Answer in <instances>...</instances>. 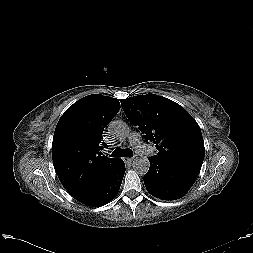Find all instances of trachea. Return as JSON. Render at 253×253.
I'll list each match as a JSON object with an SVG mask.
<instances>
[{"instance_id":"3493384b","label":"trachea","mask_w":253,"mask_h":253,"mask_svg":"<svg viewBox=\"0 0 253 253\" xmlns=\"http://www.w3.org/2000/svg\"><path fill=\"white\" fill-rule=\"evenodd\" d=\"M110 156L115 157V158L132 157L133 156V151L131 149H128V148L127 149L116 148Z\"/></svg>"}]
</instances>
